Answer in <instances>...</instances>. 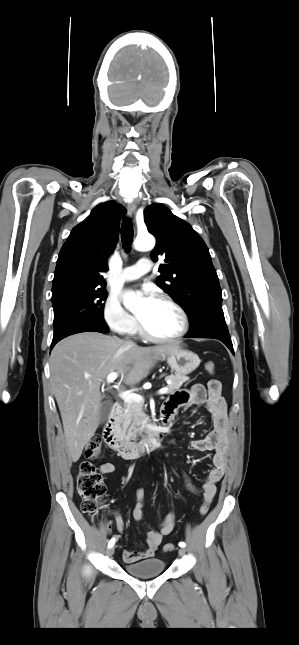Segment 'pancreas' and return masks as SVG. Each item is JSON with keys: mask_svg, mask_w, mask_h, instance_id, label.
<instances>
[{"mask_svg": "<svg viewBox=\"0 0 299 645\" xmlns=\"http://www.w3.org/2000/svg\"><path fill=\"white\" fill-rule=\"evenodd\" d=\"M166 380H170V384L167 385L168 391L170 394L175 390L179 389L183 383L189 380V377L185 375H171L167 376ZM147 415L143 411V404L137 402H125L124 403V413L120 417V435L123 439L135 440L138 435H140L145 426Z\"/></svg>", "mask_w": 299, "mask_h": 645, "instance_id": "obj_1", "label": "pancreas"}]
</instances>
